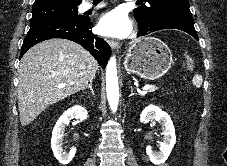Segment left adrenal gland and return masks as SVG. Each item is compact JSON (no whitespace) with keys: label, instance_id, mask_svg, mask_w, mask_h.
<instances>
[{"label":"left adrenal gland","instance_id":"1","mask_svg":"<svg viewBox=\"0 0 227 166\" xmlns=\"http://www.w3.org/2000/svg\"><path fill=\"white\" fill-rule=\"evenodd\" d=\"M130 89H131V94L129 95V98L132 97L133 95H135V93L133 92L132 86H130Z\"/></svg>","mask_w":227,"mask_h":166}]
</instances>
